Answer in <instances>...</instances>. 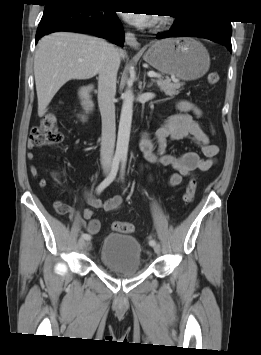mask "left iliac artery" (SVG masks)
<instances>
[{"label":"left iliac artery","mask_w":261,"mask_h":355,"mask_svg":"<svg viewBox=\"0 0 261 355\" xmlns=\"http://www.w3.org/2000/svg\"><path fill=\"white\" fill-rule=\"evenodd\" d=\"M125 165H126V157H122V165H121V175L123 176L124 171H125ZM156 244V241L154 239L149 240V245L154 246Z\"/></svg>","instance_id":"1"}]
</instances>
